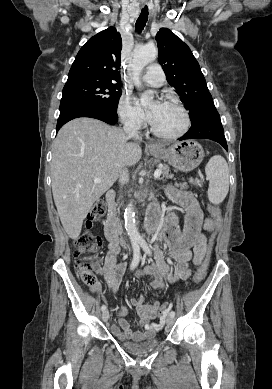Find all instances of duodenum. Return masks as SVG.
Returning <instances> with one entry per match:
<instances>
[{
	"label": "duodenum",
	"instance_id": "obj_1",
	"mask_svg": "<svg viewBox=\"0 0 272 389\" xmlns=\"http://www.w3.org/2000/svg\"><path fill=\"white\" fill-rule=\"evenodd\" d=\"M106 202L110 209V214L105 222L104 233L108 241L118 244L120 242L119 237V224L118 219L114 211V203L116 199V192L114 190L107 191L105 195ZM159 226L158 214L151 212L148 214L147 227L150 233H154Z\"/></svg>",
	"mask_w": 272,
	"mask_h": 389
}]
</instances>
